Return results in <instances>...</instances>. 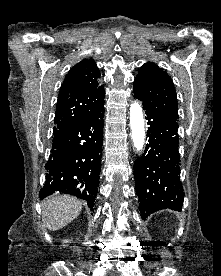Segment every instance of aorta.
I'll return each mask as SVG.
<instances>
[{"label": "aorta", "instance_id": "obj_1", "mask_svg": "<svg viewBox=\"0 0 221 276\" xmlns=\"http://www.w3.org/2000/svg\"><path fill=\"white\" fill-rule=\"evenodd\" d=\"M130 126L134 146L137 151H141L145 141V125L142 108L137 102L130 105Z\"/></svg>", "mask_w": 221, "mask_h": 276}]
</instances>
